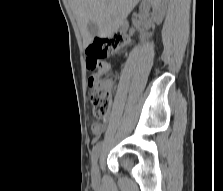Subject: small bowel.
I'll return each mask as SVG.
<instances>
[{
    "mask_svg": "<svg viewBox=\"0 0 223 191\" xmlns=\"http://www.w3.org/2000/svg\"><path fill=\"white\" fill-rule=\"evenodd\" d=\"M106 125H107L106 120H103L102 122H93L91 130L93 134H95L96 136H100L104 132Z\"/></svg>",
    "mask_w": 223,
    "mask_h": 191,
    "instance_id": "obj_1",
    "label": "small bowel"
}]
</instances>
